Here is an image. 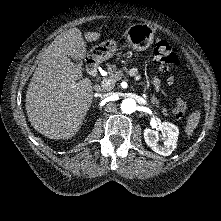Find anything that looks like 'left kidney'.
<instances>
[{
	"label": "left kidney",
	"instance_id": "5707ae66",
	"mask_svg": "<svg viewBox=\"0 0 221 221\" xmlns=\"http://www.w3.org/2000/svg\"><path fill=\"white\" fill-rule=\"evenodd\" d=\"M158 129L165 137L163 144H159L157 131L150 128L144 130L145 142L154 152L163 156H169L177 146L179 129L176 125L169 122H163Z\"/></svg>",
	"mask_w": 221,
	"mask_h": 221
}]
</instances>
